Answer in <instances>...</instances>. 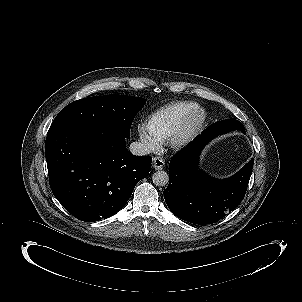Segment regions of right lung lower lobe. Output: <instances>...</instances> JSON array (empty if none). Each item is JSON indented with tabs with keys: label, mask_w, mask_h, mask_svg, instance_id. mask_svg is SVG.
Instances as JSON below:
<instances>
[{
	"label": "right lung lower lobe",
	"mask_w": 302,
	"mask_h": 302,
	"mask_svg": "<svg viewBox=\"0 0 302 302\" xmlns=\"http://www.w3.org/2000/svg\"><path fill=\"white\" fill-rule=\"evenodd\" d=\"M126 137L96 124L48 131L46 161L51 190L75 218L106 219L129 200L135 185L148 176L151 157L134 156Z\"/></svg>",
	"instance_id": "1"
}]
</instances>
